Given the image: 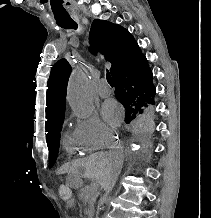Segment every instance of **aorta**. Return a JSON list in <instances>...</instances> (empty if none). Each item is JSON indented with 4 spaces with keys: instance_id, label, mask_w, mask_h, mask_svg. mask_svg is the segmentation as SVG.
I'll list each match as a JSON object with an SVG mask.
<instances>
[{
    "instance_id": "762f6f07",
    "label": "aorta",
    "mask_w": 211,
    "mask_h": 218,
    "mask_svg": "<svg viewBox=\"0 0 211 218\" xmlns=\"http://www.w3.org/2000/svg\"><path fill=\"white\" fill-rule=\"evenodd\" d=\"M67 99L73 112L81 118L91 115L94 109L93 96L87 74L75 68L69 78Z\"/></svg>"
}]
</instances>
